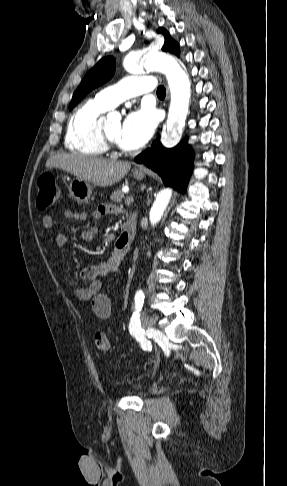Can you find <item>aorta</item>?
<instances>
[{
  "instance_id": "aorta-1",
  "label": "aorta",
  "mask_w": 287,
  "mask_h": 486,
  "mask_svg": "<svg viewBox=\"0 0 287 486\" xmlns=\"http://www.w3.org/2000/svg\"><path fill=\"white\" fill-rule=\"evenodd\" d=\"M124 69L132 74L144 67L149 71H160L165 74L171 93L168 119L165 125L163 144L175 145L181 138L189 110L191 97L190 82L187 74L176 59L164 53H147L139 63L138 57H126ZM172 196L170 188L160 191L149 213L150 224L155 226L162 218Z\"/></svg>"
}]
</instances>
